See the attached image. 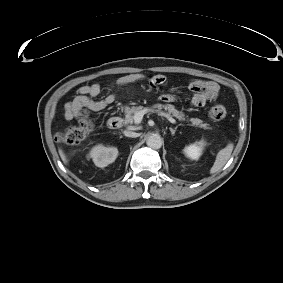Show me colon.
<instances>
[{"instance_id":"1","label":"colon","mask_w":283,"mask_h":283,"mask_svg":"<svg viewBox=\"0 0 283 283\" xmlns=\"http://www.w3.org/2000/svg\"><path fill=\"white\" fill-rule=\"evenodd\" d=\"M227 116L226 108L221 104H215L209 109V117L213 121H221ZM94 128L93 121L87 115H83L77 125L70 126L57 135V141L65 144H77L81 142Z\"/></svg>"}]
</instances>
